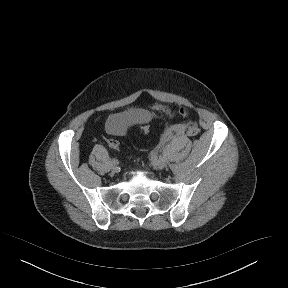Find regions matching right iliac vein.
Listing matches in <instances>:
<instances>
[{
    "label": "right iliac vein",
    "mask_w": 288,
    "mask_h": 288,
    "mask_svg": "<svg viewBox=\"0 0 288 288\" xmlns=\"http://www.w3.org/2000/svg\"><path fill=\"white\" fill-rule=\"evenodd\" d=\"M111 169L116 170L117 169V163L112 162L111 163Z\"/></svg>",
    "instance_id": "right-iliac-vein-1"
}]
</instances>
